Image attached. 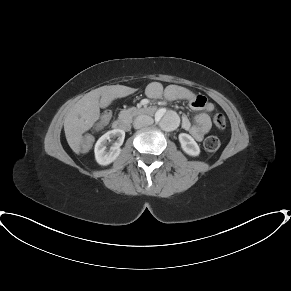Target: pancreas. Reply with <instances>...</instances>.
Segmentation results:
<instances>
[{"label": "pancreas", "mask_w": 291, "mask_h": 291, "mask_svg": "<svg viewBox=\"0 0 291 291\" xmlns=\"http://www.w3.org/2000/svg\"><path fill=\"white\" fill-rule=\"evenodd\" d=\"M137 113H138V110L135 107H133V108L121 111L119 114V117L120 118H132Z\"/></svg>", "instance_id": "1"}]
</instances>
